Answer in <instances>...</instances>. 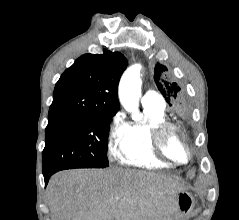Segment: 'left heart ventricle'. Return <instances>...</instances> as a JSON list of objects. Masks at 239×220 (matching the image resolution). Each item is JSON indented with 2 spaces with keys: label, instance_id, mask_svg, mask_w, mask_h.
Segmentation results:
<instances>
[{
  "label": "left heart ventricle",
  "instance_id": "b2bd125f",
  "mask_svg": "<svg viewBox=\"0 0 239 220\" xmlns=\"http://www.w3.org/2000/svg\"><path fill=\"white\" fill-rule=\"evenodd\" d=\"M168 154L177 160H184L186 157L184 146L176 134H171L166 140Z\"/></svg>",
  "mask_w": 239,
  "mask_h": 220
}]
</instances>
